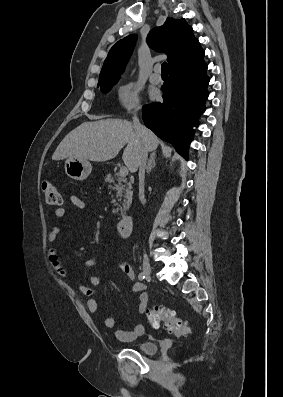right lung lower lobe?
I'll return each mask as SVG.
<instances>
[{"mask_svg":"<svg viewBox=\"0 0 283 397\" xmlns=\"http://www.w3.org/2000/svg\"><path fill=\"white\" fill-rule=\"evenodd\" d=\"M207 64L203 57L169 71V82L162 86L163 102L145 105V126L159 138L171 143L187 159L188 147L205 111L208 98Z\"/></svg>","mask_w":283,"mask_h":397,"instance_id":"obj_1","label":"right lung lower lobe"}]
</instances>
